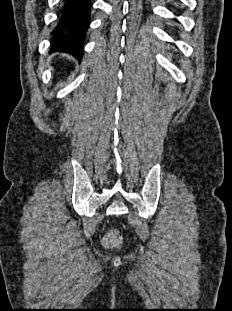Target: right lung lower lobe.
<instances>
[{"label":"right lung lower lobe","mask_w":232,"mask_h":311,"mask_svg":"<svg viewBox=\"0 0 232 311\" xmlns=\"http://www.w3.org/2000/svg\"><path fill=\"white\" fill-rule=\"evenodd\" d=\"M60 18L55 27L52 48L81 58L87 28L90 24L91 0H63Z\"/></svg>","instance_id":"obj_1"}]
</instances>
